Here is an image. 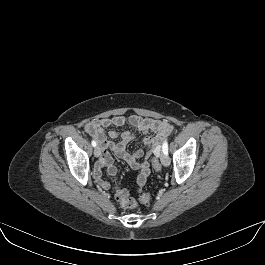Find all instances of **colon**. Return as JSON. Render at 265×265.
<instances>
[{
  "instance_id": "colon-1",
  "label": "colon",
  "mask_w": 265,
  "mask_h": 265,
  "mask_svg": "<svg viewBox=\"0 0 265 265\" xmlns=\"http://www.w3.org/2000/svg\"><path fill=\"white\" fill-rule=\"evenodd\" d=\"M152 166L156 171H159L161 169V164L158 159V153H155L152 158ZM116 199L125 209H132L137 206V202L133 198H131L128 192L124 189L116 190ZM139 200L142 204L149 205L151 202V196L148 193H142L139 196Z\"/></svg>"
}]
</instances>
